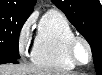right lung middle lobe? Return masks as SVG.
<instances>
[{
	"mask_svg": "<svg viewBox=\"0 0 102 75\" xmlns=\"http://www.w3.org/2000/svg\"><path fill=\"white\" fill-rule=\"evenodd\" d=\"M29 13L0 10V59H20L18 40Z\"/></svg>",
	"mask_w": 102,
	"mask_h": 75,
	"instance_id": "1",
	"label": "right lung middle lobe"
}]
</instances>
